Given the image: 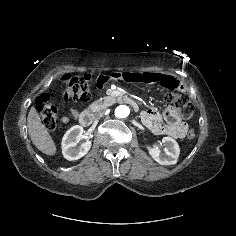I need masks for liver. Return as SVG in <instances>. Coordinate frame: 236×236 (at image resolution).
Segmentation results:
<instances>
[{"mask_svg":"<svg viewBox=\"0 0 236 236\" xmlns=\"http://www.w3.org/2000/svg\"><path fill=\"white\" fill-rule=\"evenodd\" d=\"M28 133L33 144L46 155H55L56 146L49 132L42 124L41 119L35 109L31 107L27 118Z\"/></svg>","mask_w":236,"mask_h":236,"instance_id":"liver-1","label":"liver"}]
</instances>
